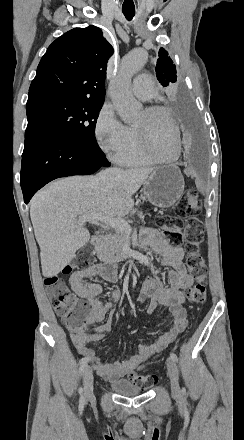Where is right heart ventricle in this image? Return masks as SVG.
Returning <instances> with one entry per match:
<instances>
[{
    "mask_svg": "<svg viewBox=\"0 0 244 440\" xmlns=\"http://www.w3.org/2000/svg\"><path fill=\"white\" fill-rule=\"evenodd\" d=\"M139 134V131L132 128V136L136 139V146L130 151L117 152L113 157V160L117 164L127 167H152L155 164L152 154H149L148 152L149 149H154L155 146L146 145L145 147H142L139 141V138L141 137Z\"/></svg>",
    "mask_w": 244,
    "mask_h": 440,
    "instance_id": "obj_1",
    "label": "right heart ventricle"
}]
</instances>
